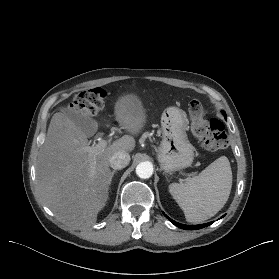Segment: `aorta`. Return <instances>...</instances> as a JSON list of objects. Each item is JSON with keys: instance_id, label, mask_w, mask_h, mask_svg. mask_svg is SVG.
Here are the masks:
<instances>
[{"instance_id": "obj_1", "label": "aorta", "mask_w": 279, "mask_h": 279, "mask_svg": "<svg viewBox=\"0 0 279 279\" xmlns=\"http://www.w3.org/2000/svg\"><path fill=\"white\" fill-rule=\"evenodd\" d=\"M136 174L142 179H148L153 174V165L150 162H141L136 167Z\"/></svg>"}]
</instances>
